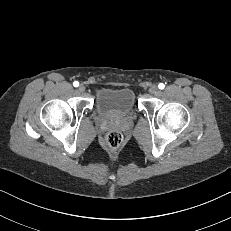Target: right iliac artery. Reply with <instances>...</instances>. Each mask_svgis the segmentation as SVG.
Instances as JSON below:
<instances>
[{"label": "right iliac artery", "instance_id": "82829eb1", "mask_svg": "<svg viewBox=\"0 0 231 231\" xmlns=\"http://www.w3.org/2000/svg\"><path fill=\"white\" fill-rule=\"evenodd\" d=\"M73 85H74L75 87H78V86H79V83H78L77 81H75V82L73 83Z\"/></svg>", "mask_w": 231, "mask_h": 231}]
</instances>
